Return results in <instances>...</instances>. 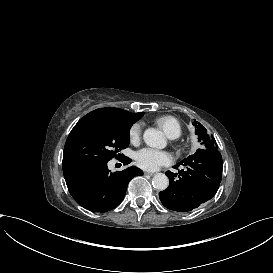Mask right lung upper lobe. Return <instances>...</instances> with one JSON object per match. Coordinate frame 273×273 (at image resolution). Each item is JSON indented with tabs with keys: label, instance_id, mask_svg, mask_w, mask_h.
Instances as JSON below:
<instances>
[{
	"label": "right lung upper lobe",
	"instance_id": "right-lung-upper-lobe-1",
	"mask_svg": "<svg viewBox=\"0 0 273 273\" xmlns=\"http://www.w3.org/2000/svg\"><path fill=\"white\" fill-rule=\"evenodd\" d=\"M89 114L96 115L102 118L112 119L132 126L137 120L142 117L143 112L131 113L119 108L106 107L96 109Z\"/></svg>",
	"mask_w": 273,
	"mask_h": 273
}]
</instances>
